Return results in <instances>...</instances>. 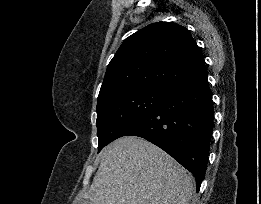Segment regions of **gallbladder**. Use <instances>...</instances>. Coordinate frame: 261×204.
<instances>
[{"label":"gallbladder","mask_w":261,"mask_h":204,"mask_svg":"<svg viewBox=\"0 0 261 204\" xmlns=\"http://www.w3.org/2000/svg\"><path fill=\"white\" fill-rule=\"evenodd\" d=\"M77 204H92V202L90 200L83 199V200H79Z\"/></svg>","instance_id":"bac80fb5"}]
</instances>
